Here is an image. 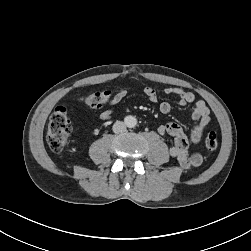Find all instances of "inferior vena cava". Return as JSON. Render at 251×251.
<instances>
[{"mask_svg":"<svg viewBox=\"0 0 251 251\" xmlns=\"http://www.w3.org/2000/svg\"><path fill=\"white\" fill-rule=\"evenodd\" d=\"M126 131V124L122 121H117L113 125L114 133H123Z\"/></svg>","mask_w":251,"mask_h":251,"instance_id":"1","label":"inferior vena cava"}]
</instances>
